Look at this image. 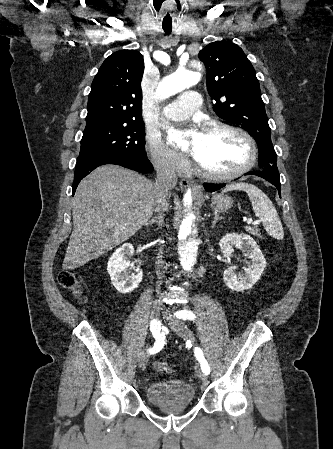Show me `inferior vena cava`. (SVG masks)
I'll return each mask as SVG.
<instances>
[{
    "instance_id": "602c4592",
    "label": "inferior vena cava",
    "mask_w": 333,
    "mask_h": 449,
    "mask_svg": "<svg viewBox=\"0 0 333 449\" xmlns=\"http://www.w3.org/2000/svg\"><path fill=\"white\" fill-rule=\"evenodd\" d=\"M157 179L156 189L158 192L156 212L167 209L168 190L177 183V176L173 166H171L166 159L156 164Z\"/></svg>"
}]
</instances>
